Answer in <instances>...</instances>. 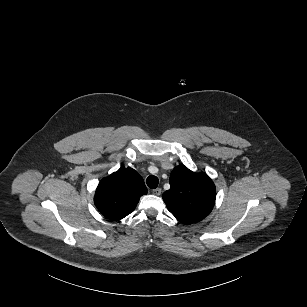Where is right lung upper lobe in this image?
Returning <instances> with one entry per match:
<instances>
[{"label":"right lung upper lobe","mask_w":307,"mask_h":307,"mask_svg":"<svg viewBox=\"0 0 307 307\" xmlns=\"http://www.w3.org/2000/svg\"><path fill=\"white\" fill-rule=\"evenodd\" d=\"M147 193L142 177L132 168H122L99 183L94 202L110 220H120L130 214Z\"/></svg>","instance_id":"1"}]
</instances>
